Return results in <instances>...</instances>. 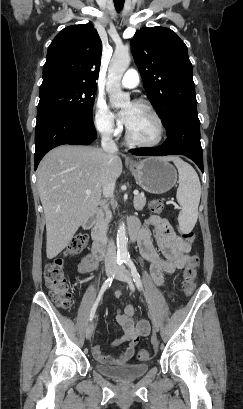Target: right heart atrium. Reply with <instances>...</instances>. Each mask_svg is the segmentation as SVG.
Masks as SVG:
<instances>
[{
  "mask_svg": "<svg viewBox=\"0 0 243 409\" xmlns=\"http://www.w3.org/2000/svg\"><path fill=\"white\" fill-rule=\"evenodd\" d=\"M93 121L97 131L106 137H115L120 132L108 105L102 99H97L95 103Z\"/></svg>",
  "mask_w": 243,
  "mask_h": 409,
  "instance_id": "d8ad5b80",
  "label": "right heart atrium"
}]
</instances>
